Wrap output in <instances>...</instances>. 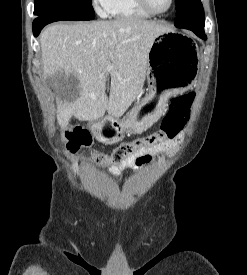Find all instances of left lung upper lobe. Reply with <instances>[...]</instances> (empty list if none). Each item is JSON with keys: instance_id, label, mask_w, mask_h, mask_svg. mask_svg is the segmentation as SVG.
Here are the masks:
<instances>
[{"instance_id": "1", "label": "left lung upper lobe", "mask_w": 247, "mask_h": 275, "mask_svg": "<svg viewBox=\"0 0 247 275\" xmlns=\"http://www.w3.org/2000/svg\"><path fill=\"white\" fill-rule=\"evenodd\" d=\"M178 28H204V10L200 0H175Z\"/></svg>"}]
</instances>
